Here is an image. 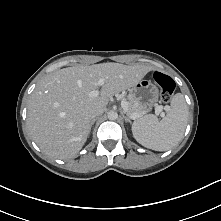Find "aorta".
<instances>
[{"instance_id":"aorta-1","label":"aorta","mask_w":221,"mask_h":221,"mask_svg":"<svg viewBox=\"0 0 221 221\" xmlns=\"http://www.w3.org/2000/svg\"><path fill=\"white\" fill-rule=\"evenodd\" d=\"M109 120H115L118 118V114L115 111H109L107 114Z\"/></svg>"}]
</instances>
